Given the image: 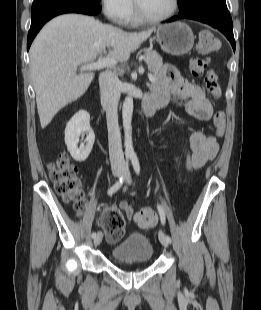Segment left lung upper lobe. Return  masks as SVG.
<instances>
[{"label":"left lung upper lobe","mask_w":261,"mask_h":310,"mask_svg":"<svg viewBox=\"0 0 261 310\" xmlns=\"http://www.w3.org/2000/svg\"><path fill=\"white\" fill-rule=\"evenodd\" d=\"M209 0H178L180 8L179 15H187L198 10L204 3Z\"/></svg>","instance_id":"5c2ea615"}]
</instances>
